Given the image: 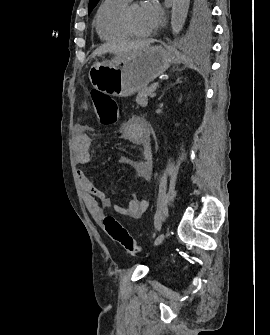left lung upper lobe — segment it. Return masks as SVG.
<instances>
[{
  "mask_svg": "<svg viewBox=\"0 0 270 335\" xmlns=\"http://www.w3.org/2000/svg\"><path fill=\"white\" fill-rule=\"evenodd\" d=\"M208 0H189L188 19L192 28L198 33H205L209 30V6ZM99 0H90L88 13L97 5Z\"/></svg>",
  "mask_w": 270,
  "mask_h": 335,
  "instance_id": "obj_1",
  "label": "left lung upper lobe"
}]
</instances>
